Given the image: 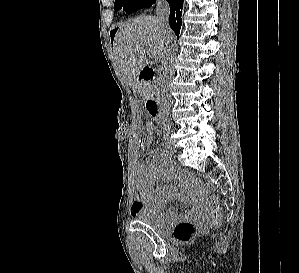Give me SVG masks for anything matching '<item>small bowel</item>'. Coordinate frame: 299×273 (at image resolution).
<instances>
[{
    "label": "small bowel",
    "instance_id": "small-bowel-1",
    "mask_svg": "<svg viewBox=\"0 0 299 273\" xmlns=\"http://www.w3.org/2000/svg\"><path fill=\"white\" fill-rule=\"evenodd\" d=\"M154 127L152 123L146 124V133L139 134L136 137L139 146L144 145V138L148 137L152 140V134ZM150 157L153 162L147 164H140L138 166L136 176V197L131 206V214L136 217L142 211H150L162 216H173V208H163L164 202L173 196L178 195L179 198L184 202L196 201V198L188 192L187 179L184 175L178 172L170 162L165 158H160L157 154L151 153ZM177 181L181 193H178L177 188L173 185H164L160 187H152L157 181ZM198 206L190 209L186 217H195L198 215Z\"/></svg>",
    "mask_w": 299,
    "mask_h": 273
}]
</instances>
